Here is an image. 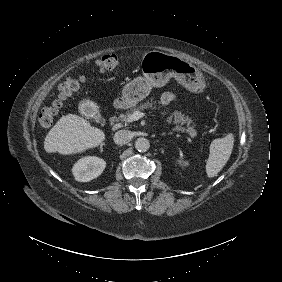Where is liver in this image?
<instances>
[{
  "label": "liver",
  "mask_w": 282,
  "mask_h": 282,
  "mask_svg": "<svg viewBox=\"0 0 282 282\" xmlns=\"http://www.w3.org/2000/svg\"><path fill=\"white\" fill-rule=\"evenodd\" d=\"M104 139L103 132L93 127L79 116L63 117L47 134L44 142L45 150H58L71 153L87 147L98 145Z\"/></svg>",
  "instance_id": "1"
}]
</instances>
